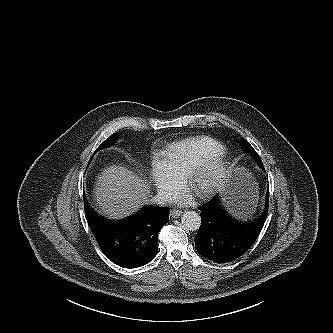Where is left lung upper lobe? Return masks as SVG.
Here are the masks:
<instances>
[{"mask_svg": "<svg viewBox=\"0 0 333 333\" xmlns=\"http://www.w3.org/2000/svg\"><path fill=\"white\" fill-rule=\"evenodd\" d=\"M242 146H243L244 151H245L246 153H250V154H252V155L256 158V160H257L259 166H260L261 168H263V163H262V161H261L259 155H258L257 152L254 150V148H253V147H252V146H251V145H250L245 139H242Z\"/></svg>", "mask_w": 333, "mask_h": 333, "instance_id": "1", "label": "left lung upper lobe"}]
</instances>
